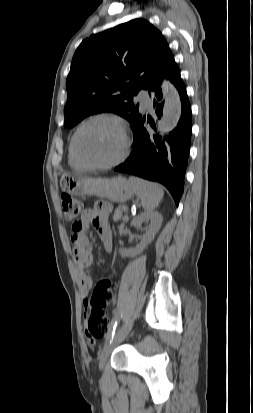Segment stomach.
Returning a JSON list of instances; mask_svg holds the SVG:
<instances>
[{
	"label": "stomach",
	"instance_id": "0dacf381",
	"mask_svg": "<svg viewBox=\"0 0 253 413\" xmlns=\"http://www.w3.org/2000/svg\"><path fill=\"white\" fill-rule=\"evenodd\" d=\"M60 185L71 196L94 195L114 202H125L134 194L132 185L122 176L108 179L63 175Z\"/></svg>",
	"mask_w": 253,
	"mask_h": 413
}]
</instances>
